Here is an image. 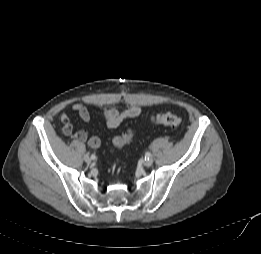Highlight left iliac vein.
Segmentation results:
<instances>
[{
  "instance_id": "left-iliac-vein-1",
  "label": "left iliac vein",
  "mask_w": 261,
  "mask_h": 254,
  "mask_svg": "<svg viewBox=\"0 0 261 254\" xmlns=\"http://www.w3.org/2000/svg\"><path fill=\"white\" fill-rule=\"evenodd\" d=\"M152 164H153V158H152V157H151L149 160L147 159V160L144 162V166H145V167H150Z\"/></svg>"
}]
</instances>
